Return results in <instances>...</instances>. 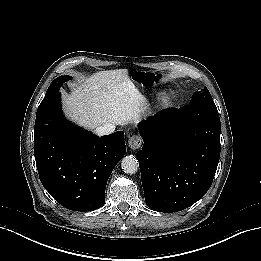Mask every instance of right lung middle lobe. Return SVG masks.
<instances>
[{
	"label": "right lung middle lobe",
	"mask_w": 261,
	"mask_h": 261,
	"mask_svg": "<svg viewBox=\"0 0 261 261\" xmlns=\"http://www.w3.org/2000/svg\"><path fill=\"white\" fill-rule=\"evenodd\" d=\"M71 78H72L71 76H60L56 78L49 86L46 95L42 100L41 104L39 105L38 109L42 108L47 103L48 100H51L53 97L57 96V94H59L60 86L63 83L69 81Z\"/></svg>",
	"instance_id": "obj_1"
}]
</instances>
